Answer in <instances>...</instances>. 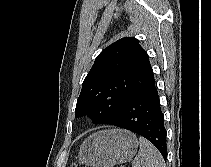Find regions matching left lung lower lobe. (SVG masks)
I'll return each mask as SVG.
<instances>
[{
  "label": "left lung lower lobe",
  "instance_id": "0a47b994",
  "mask_svg": "<svg viewBox=\"0 0 211 167\" xmlns=\"http://www.w3.org/2000/svg\"><path fill=\"white\" fill-rule=\"evenodd\" d=\"M106 124L135 132L155 145L166 160L167 144L164 115L154 77L134 93Z\"/></svg>",
  "mask_w": 211,
  "mask_h": 167
}]
</instances>
